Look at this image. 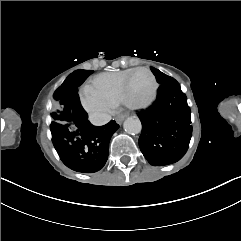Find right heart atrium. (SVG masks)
<instances>
[{"mask_svg":"<svg viewBox=\"0 0 241 241\" xmlns=\"http://www.w3.org/2000/svg\"><path fill=\"white\" fill-rule=\"evenodd\" d=\"M79 98L82 107L96 124L106 127L110 123L107 115L113 112L114 105L105 97L97 94V89L92 84H87L79 92Z\"/></svg>","mask_w":241,"mask_h":241,"instance_id":"d8ad5b80","label":"right heart atrium"}]
</instances>
